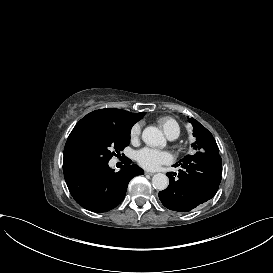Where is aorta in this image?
<instances>
[{"label": "aorta", "instance_id": "obj_1", "mask_svg": "<svg viewBox=\"0 0 273 273\" xmlns=\"http://www.w3.org/2000/svg\"><path fill=\"white\" fill-rule=\"evenodd\" d=\"M142 140L150 147H159L165 144V138L162 132L153 126L144 129ZM152 185L157 190H165L169 185V179L165 174L157 173L152 178Z\"/></svg>", "mask_w": 273, "mask_h": 273}]
</instances>
